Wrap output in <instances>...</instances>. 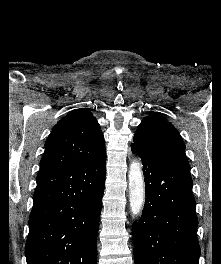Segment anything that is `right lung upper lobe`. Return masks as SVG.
Wrapping results in <instances>:
<instances>
[{"label":"right lung upper lobe","mask_w":221,"mask_h":264,"mask_svg":"<svg viewBox=\"0 0 221 264\" xmlns=\"http://www.w3.org/2000/svg\"><path fill=\"white\" fill-rule=\"evenodd\" d=\"M104 155V136L97 120L80 108L54 126L45 142L39 173L91 163Z\"/></svg>","instance_id":"1"}]
</instances>
